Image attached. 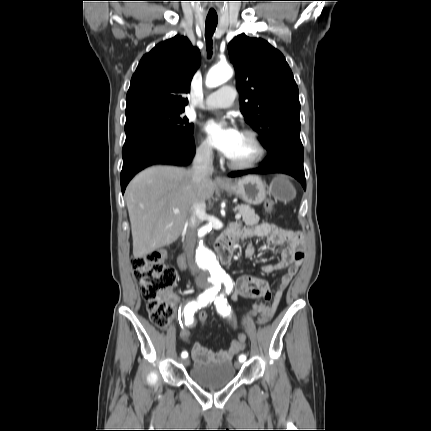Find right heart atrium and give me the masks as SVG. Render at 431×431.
I'll list each match as a JSON object with an SVG mask.
<instances>
[{
    "label": "right heart atrium",
    "mask_w": 431,
    "mask_h": 431,
    "mask_svg": "<svg viewBox=\"0 0 431 431\" xmlns=\"http://www.w3.org/2000/svg\"><path fill=\"white\" fill-rule=\"evenodd\" d=\"M198 158L204 162H210L213 158V150L207 140H202L196 149Z\"/></svg>",
    "instance_id": "d8ad5b80"
}]
</instances>
